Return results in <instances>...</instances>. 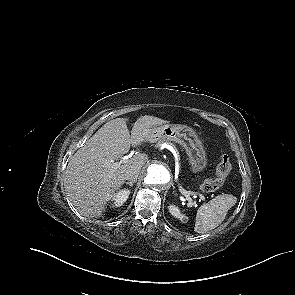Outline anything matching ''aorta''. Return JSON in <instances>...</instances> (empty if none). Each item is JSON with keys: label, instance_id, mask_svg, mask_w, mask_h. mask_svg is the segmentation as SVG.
<instances>
[{"label": "aorta", "instance_id": "1", "mask_svg": "<svg viewBox=\"0 0 295 295\" xmlns=\"http://www.w3.org/2000/svg\"><path fill=\"white\" fill-rule=\"evenodd\" d=\"M169 181L170 173L165 166L156 163L148 166L144 178L146 186L150 188H158L166 186Z\"/></svg>", "mask_w": 295, "mask_h": 295}]
</instances>
